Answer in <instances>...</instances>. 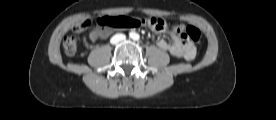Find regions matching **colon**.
Here are the masks:
<instances>
[{
	"mask_svg": "<svg viewBox=\"0 0 276 120\" xmlns=\"http://www.w3.org/2000/svg\"><path fill=\"white\" fill-rule=\"evenodd\" d=\"M98 24L103 28L121 29L135 27L139 24L148 25L153 29L160 30L165 26V21L161 18H148V19H134L127 16H104L98 19ZM89 22H83L77 27V30L85 29ZM173 32L181 39L186 41L199 42L201 34L200 31L194 26H184L182 24H175ZM63 48L67 55L73 56L77 52V39L73 35H68L64 38Z\"/></svg>",
	"mask_w": 276,
	"mask_h": 120,
	"instance_id": "obj_1",
	"label": "colon"
}]
</instances>
